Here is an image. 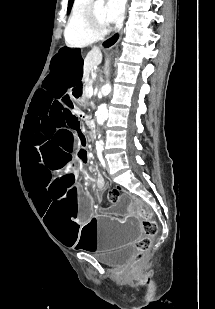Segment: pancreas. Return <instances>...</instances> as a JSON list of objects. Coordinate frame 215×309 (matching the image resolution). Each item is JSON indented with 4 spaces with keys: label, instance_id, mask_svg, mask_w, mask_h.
Listing matches in <instances>:
<instances>
[{
    "label": "pancreas",
    "instance_id": "obj_1",
    "mask_svg": "<svg viewBox=\"0 0 215 309\" xmlns=\"http://www.w3.org/2000/svg\"><path fill=\"white\" fill-rule=\"evenodd\" d=\"M93 80L92 78H87V80H84V90L82 94V100H88L90 96H88V92H86L85 88H89V86H92Z\"/></svg>",
    "mask_w": 215,
    "mask_h": 309
}]
</instances>
